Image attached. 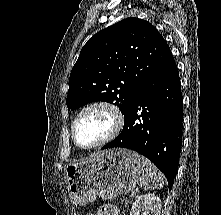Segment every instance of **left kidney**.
Returning <instances> with one entry per match:
<instances>
[{"mask_svg":"<svg viewBox=\"0 0 221 215\" xmlns=\"http://www.w3.org/2000/svg\"><path fill=\"white\" fill-rule=\"evenodd\" d=\"M161 199L154 193L138 196L133 203L130 215H160Z\"/></svg>","mask_w":221,"mask_h":215,"instance_id":"left-kidney-1","label":"left kidney"}]
</instances>
